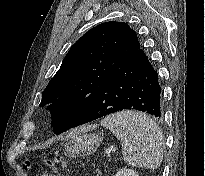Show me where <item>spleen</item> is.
Returning a JSON list of instances; mask_svg holds the SVG:
<instances>
[{"label":"spleen","instance_id":"obj_1","mask_svg":"<svg viewBox=\"0 0 205 176\" xmlns=\"http://www.w3.org/2000/svg\"><path fill=\"white\" fill-rule=\"evenodd\" d=\"M121 141L124 161L129 165L157 169L163 160L164 137L155 121L138 111H121L102 119Z\"/></svg>","mask_w":205,"mask_h":176}]
</instances>
